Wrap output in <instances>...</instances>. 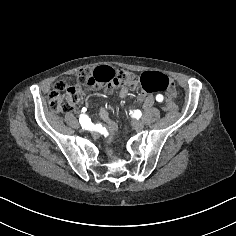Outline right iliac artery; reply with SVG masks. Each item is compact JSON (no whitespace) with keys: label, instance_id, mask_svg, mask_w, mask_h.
Segmentation results:
<instances>
[{"label":"right iliac artery","instance_id":"1","mask_svg":"<svg viewBox=\"0 0 236 236\" xmlns=\"http://www.w3.org/2000/svg\"><path fill=\"white\" fill-rule=\"evenodd\" d=\"M79 122L82 126V129L85 130H89L92 124L91 119L85 114L80 115Z\"/></svg>","mask_w":236,"mask_h":236}]
</instances>
